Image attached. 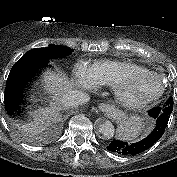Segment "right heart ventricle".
I'll use <instances>...</instances> for the list:
<instances>
[{
	"label": "right heart ventricle",
	"mask_w": 177,
	"mask_h": 177,
	"mask_svg": "<svg viewBox=\"0 0 177 177\" xmlns=\"http://www.w3.org/2000/svg\"><path fill=\"white\" fill-rule=\"evenodd\" d=\"M94 67L99 74L101 83L112 88L126 74L149 71L139 64L119 60H103L97 62Z\"/></svg>",
	"instance_id": "obj_1"
}]
</instances>
